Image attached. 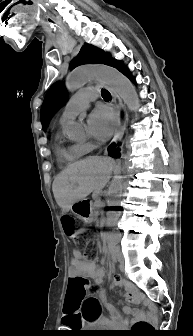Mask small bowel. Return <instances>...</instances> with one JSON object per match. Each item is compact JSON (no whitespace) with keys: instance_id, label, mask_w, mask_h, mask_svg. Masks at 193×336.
<instances>
[{"instance_id":"c3829d8e","label":"small bowel","mask_w":193,"mask_h":336,"mask_svg":"<svg viewBox=\"0 0 193 336\" xmlns=\"http://www.w3.org/2000/svg\"><path fill=\"white\" fill-rule=\"evenodd\" d=\"M85 279H93L96 284H101L105 279V271L98 265L96 260L87 258V256L79 250H74L71 255L67 300L63 314V324L67 327H72L74 322H80L85 319L83 309L84 295L79 286V283ZM112 283L115 286L124 287V299L126 302L135 303L143 301V297L136 287L129 282L125 283L119 275L115 274L113 276ZM101 298L110 313V317L97 320V323H101L105 326L121 324L123 319L118 309L106 301L104 294H102ZM124 312L134 315L137 313V311L132 310L130 307H125Z\"/></svg>"}]
</instances>
